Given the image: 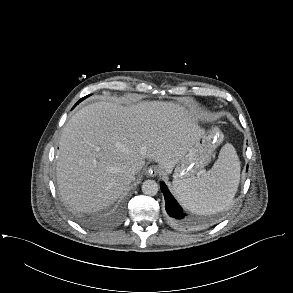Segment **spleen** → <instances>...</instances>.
Instances as JSON below:
<instances>
[{
  "instance_id": "spleen-1",
  "label": "spleen",
  "mask_w": 293,
  "mask_h": 293,
  "mask_svg": "<svg viewBox=\"0 0 293 293\" xmlns=\"http://www.w3.org/2000/svg\"><path fill=\"white\" fill-rule=\"evenodd\" d=\"M240 162L235 148L225 144L213 167L188 181L180 182L174 191L188 210L197 214H212L227 208L237 192Z\"/></svg>"
}]
</instances>
